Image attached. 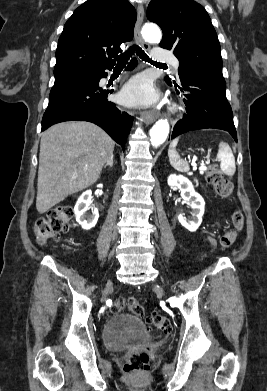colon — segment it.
I'll return each mask as SVG.
<instances>
[{
  "instance_id": "5ec220e1",
  "label": "colon",
  "mask_w": 267,
  "mask_h": 391,
  "mask_svg": "<svg viewBox=\"0 0 267 391\" xmlns=\"http://www.w3.org/2000/svg\"><path fill=\"white\" fill-rule=\"evenodd\" d=\"M206 179L214 188L216 194L222 198H228L233 193V185L226 180L217 165L210 164L207 170ZM73 208L69 205H59L52 208L46 216L40 217L34 224V234L40 244L56 240L60 233L68 232L72 227ZM234 230L224 234L220 239L222 248H229L235 242L238 232L243 229L244 216L242 212L236 211L232 216ZM128 308L137 316L144 317L145 323L150 329H157L162 332L171 330L170 319L164 315L153 313L144 315V309L134 297L120 298L115 300L112 306L113 312H120ZM149 368V355L145 351H135L128 355L124 364L126 373L134 376L144 374Z\"/></svg>"
}]
</instances>
